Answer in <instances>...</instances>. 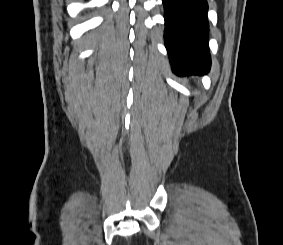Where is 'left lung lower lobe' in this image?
I'll use <instances>...</instances> for the list:
<instances>
[{
    "mask_svg": "<svg viewBox=\"0 0 283 245\" xmlns=\"http://www.w3.org/2000/svg\"><path fill=\"white\" fill-rule=\"evenodd\" d=\"M165 46L177 75L206 74L211 59L208 48L206 0H162Z\"/></svg>",
    "mask_w": 283,
    "mask_h": 245,
    "instance_id": "left-lung-lower-lobe-1",
    "label": "left lung lower lobe"
}]
</instances>
